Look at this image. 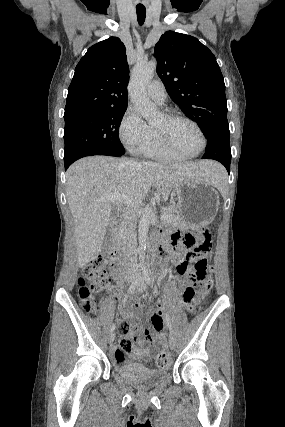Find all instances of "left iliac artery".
<instances>
[{
	"mask_svg": "<svg viewBox=\"0 0 285 427\" xmlns=\"http://www.w3.org/2000/svg\"><path fill=\"white\" fill-rule=\"evenodd\" d=\"M145 281H146V283H147L149 286H152V281H151V279L149 278V276H148V275H146V276H145ZM165 319H166L167 325H168V327H169L170 334L172 335V333H173V330H172V323H171V320H170V318H169V316H168L167 314H166Z\"/></svg>",
	"mask_w": 285,
	"mask_h": 427,
	"instance_id": "left-iliac-artery-1",
	"label": "left iliac artery"
}]
</instances>
